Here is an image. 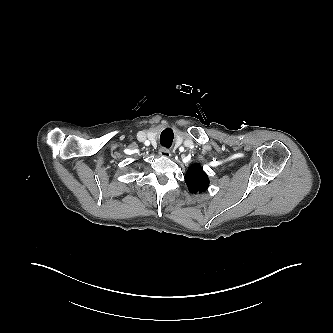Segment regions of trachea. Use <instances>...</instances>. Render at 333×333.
Returning a JSON list of instances; mask_svg holds the SVG:
<instances>
[{"mask_svg":"<svg viewBox=\"0 0 333 333\" xmlns=\"http://www.w3.org/2000/svg\"><path fill=\"white\" fill-rule=\"evenodd\" d=\"M172 140L170 142L162 140V146L169 148L171 146Z\"/></svg>","mask_w":333,"mask_h":333,"instance_id":"trachea-1","label":"trachea"}]
</instances>
